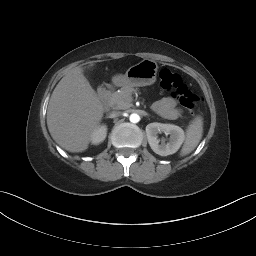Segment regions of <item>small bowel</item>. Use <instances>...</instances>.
Returning <instances> with one entry per match:
<instances>
[{"instance_id": "c3829d8e", "label": "small bowel", "mask_w": 256, "mask_h": 256, "mask_svg": "<svg viewBox=\"0 0 256 256\" xmlns=\"http://www.w3.org/2000/svg\"><path fill=\"white\" fill-rule=\"evenodd\" d=\"M154 111L167 120H175L180 117L181 110L177 107L175 100L165 97L153 104Z\"/></svg>"}]
</instances>
